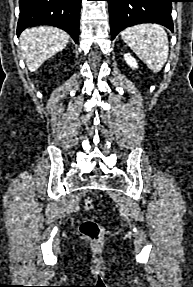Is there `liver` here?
I'll return each mask as SVG.
<instances>
[{
    "mask_svg": "<svg viewBox=\"0 0 193 287\" xmlns=\"http://www.w3.org/2000/svg\"><path fill=\"white\" fill-rule=\"evenodd\" d=\"M69 35L61 29L39 26L26 29L20 36L22 57L30 71H36L47 59L63 50Z\"/></svg>",
    "mask_w": 193,
    "mask_h": 287,
    "instance_id": "obj_1",
    "label": "liver"
}]
</instances>
